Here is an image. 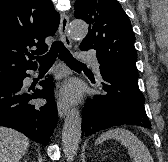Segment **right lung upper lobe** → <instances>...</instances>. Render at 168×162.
Returning <instances> with one entry per match:
<instances>
[{"label": "right lung upper lobe", "mask_w": 168, "mask_h": 162, "mask_svg": "<svg viewBox=\"0 0 168 162\" xmlns=\"http://www.w3.org/2000/svg\"><path fill=\"white\" fill-rule=\"evenodd\" d=\"M59 22L51 0H0V79L35 68L28 51L46 52L45 38L54 35Z\"/></svg>", "instance_id": "cb5924a9"}]
</instances>
